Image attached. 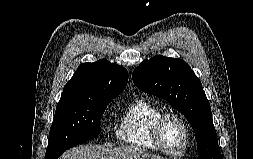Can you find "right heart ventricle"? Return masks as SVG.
Instances as JSON below:
<instances>
[{"label":"right heart ventricle","instance_id":"e07e8e85","mask_svg":"<svg viewBox=\"0 0 253 159\" xmlns=\"http://www.w3.org/2000/svg\"><path fill=\"white\" fill-rule=\"evenodd\" d=\"M162 112L158 105L145 98L135 99L123 110L117 121V140L136 149L158 150L151 138V127Z\"/></svg>","mask_w":253,"mask_h":159}]
</instances>
